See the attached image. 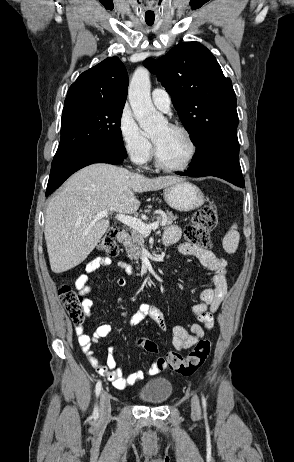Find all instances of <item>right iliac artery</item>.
Instances as JSON below:
<instances>
[{
  "instance_id": "82829eb1",
  "label": "right iliac artery",
  "mask_w": 294,
  "mask_h": 462,
  "mask_svg": "<svg viewBox=\"0 0 294 462\" xmlns=\"http://www.w3.org/2000/svg\"><path fill=\"white\" fill-rule=\"evenodd\" d=\"M101 389H102L101 381H98L97 384H96V388H95L96 397L99 396V394L101 392ZM98 415H99V412H98V407L96 405L95 408H94V411H93V417L96 419V418H98Z\"/></svg>"
}]
</instances>
